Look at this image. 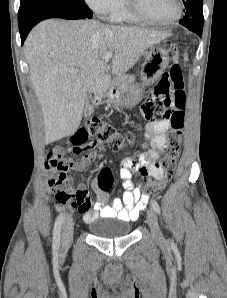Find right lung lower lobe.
I'll list each match as a JSON object with an SVG mask.
<instances>
[{
    "label": "right lung lower lobe",
    "instance_id": "98d812e1",
    "mask_svg": "<svg viewBox=\"0 0 227 298\" xmlns=\"http://www.w3.org/2000/svg\"><path fill=\"white\" fill-rule=\"evenodd\" d=\"M48 18H64V19H84L92 18V14L83 12H74L64 9H45L38 11L23 21L19 22V32L21 43L23 44L30 30L40 21Z\"/></svg>",
    "mask_w": 227,
    "mask_h": 298
}]
</instances>
